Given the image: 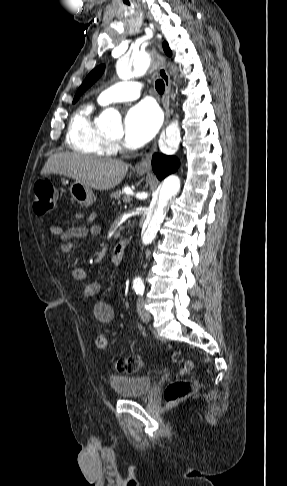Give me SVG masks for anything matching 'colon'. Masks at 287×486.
I'll list each match as a JSON object with an SVG mask.
<instances>
[{
	"instance_id": "colon-1",
	"label": "colon",
	"mask_w": 287,
	"mask_h": 486,
	"mask_svg": "<svg viewBox=\"0 0 287 486\" xmlns=\"http://www.w3.org/2000/svg\"><path fill=\"white\" fill-rule=\"evenodd\" d=\"M57 192L54 184L48 178L39 179L34 186L33 208L36 214L45 215L56 205ZM95 346L98 350L104 351L108 348V340L105 334L97 333L95 336ZM143 360L138 356L120 358L114 362V368L118 372L131 373L143 367ZM193 364L187 361L186 370H191ZM195 384L186 379H179L170 383L165 391V398L169 403H175L184 399L195 391Z\"/></svg>"
}]
</instances>
